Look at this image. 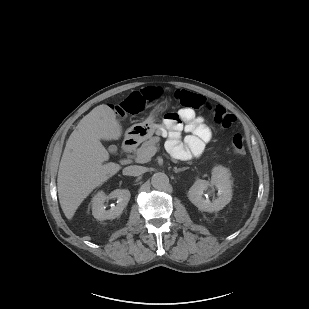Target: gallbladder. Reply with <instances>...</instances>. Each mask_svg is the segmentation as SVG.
Wrapping results in <instances>:
<instances>
[{
	"label": "gallbladder",
	"instance_id": "bac80fb5",
	"mask_svg": "<svg viewBox=\"0 0 309 309\" xmlns=\"http://www.w3.org/2000/svg\"><path fill=\"white\" fill-rule=\"evenodd\" d=\"M109 150H110L111 152L116 151V146H110V147H109Z\"/></svg>",
	"mask_w": 309,
	"mask_h": 309
}]
</instances>
